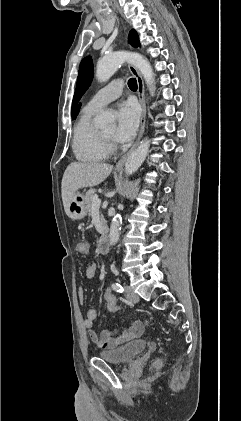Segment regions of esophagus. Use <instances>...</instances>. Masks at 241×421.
<instances>
[{
	"label": "esophagus",
	"mask_w": 241,
	"mask_h": 421,
	"mask_svg": "<svg viewBox=\"0 0 241 421\" xmlns=\"http://www.w3.org/2000/svg\"><path fill=\"white\" fill-rule=\"evenodd\" d=\"M129 70H130V72L132 73V75L136 78V81H137V86H138V90H137V93H138V97H139V102H140V105H141V109H142V114H141V119H140V123H141V125H140V130H139V134H138V137H137V139H136V141H135V143H134V145L132 146V148L130 149V151L128 152V153H126L118 162H117V164H116V168L117 169H122L123 168V166H124V164H125V162H126V159H127V157H128V155H129V153L137 146V144L139 143V141H140V139H141V137H142V135H143V133H144V130H145V121H146V103H145V90H144V82H143V79H142V77H141V75H140V73H139V71L137 70V68L134 66V65H132V64H129Z\"/></svg>",
	"instance_id": "34e87169"
}]
</instances>
